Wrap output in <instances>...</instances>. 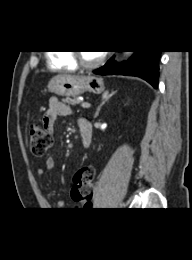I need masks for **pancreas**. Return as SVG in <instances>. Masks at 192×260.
<instances>
[{
	"label": "pancreas",
	"instance_id": "1",
	"mask_svg": "<svg viewBox=\"0 0 192 260\" xmlns=\"http://www.w3.org/2000/svg\"><path fill=\"white\" fill-rule=\"evenodd\" d=\"M64 103L68 104V105H76L78 103H80V100L76 99V98H65L62 100Z\"/></svg>",
	"mask_w": 192,
	"mask_h": 260
}]
</instances>
